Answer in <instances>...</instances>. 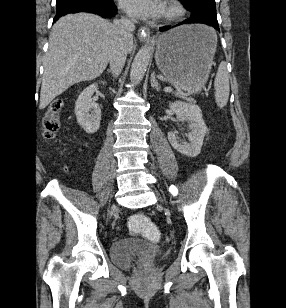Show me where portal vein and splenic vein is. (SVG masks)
<instances>
[{
  "mask_svg": "<svg viewBox=\"0 0 286 308\" xmlns=\"http://www.w3.org/2000/svg\"><path fill=\"white\" fill-rule=\"evenodd\" d=\"M171 90H172L171 87H166V88L164 89V91H166V92L171 91Z\"/></svg>",
  "mask_w": 286,
  "mask_h": 308,
  "instance_id": "18ae733b",
  "label": "portal vein and splenic vein"
}]
</instances>
